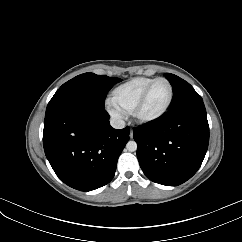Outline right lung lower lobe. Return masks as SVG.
I'll use <instances>...</instances> for the list:
<instances>
[{
    "mask_svg": "<svg viewBox=\"0 0 242 242\" xmlns=\"http://www.w3.org/2000/svg\"><path fill=\"white\" fill-rule=\"evenodd\" d=\"M104 107L69 103L46 112L43 146L56 175L68 186L91 191L114 177L130 128L114 129Z\"/></svg>",
    "mask_w": 242,
    "mask_h": 242,
    "instance_id": "98d812e1",
    "label": "right lung lower lobe"
}]
</instances>
